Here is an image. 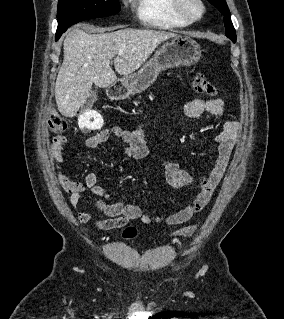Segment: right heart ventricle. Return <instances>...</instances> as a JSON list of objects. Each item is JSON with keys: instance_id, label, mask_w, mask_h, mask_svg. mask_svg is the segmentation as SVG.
Wrapping results in <instances>:
<instances>
[{"instance_id": "obj_1", "label": "right heart ventricle", "mask_w": 284, "mask_h": 319, "mask_svg": "<svg viewBox=\"0 0 284 319\" xmlns=\"http://www.w3.org/2000/svg\"><path fill=\"white\" fill-rule=\"evenodd\" d=\"M136 16L144 26L156 29L187 27L190 22L174 9V0H132Z\"/></svg>"}]
</instances>
